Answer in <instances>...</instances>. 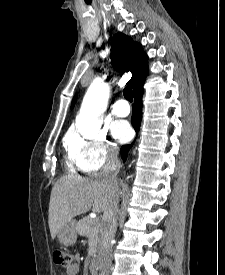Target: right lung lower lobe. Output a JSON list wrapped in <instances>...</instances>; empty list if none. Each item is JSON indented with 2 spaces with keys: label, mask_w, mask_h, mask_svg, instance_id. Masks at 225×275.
Instances as JSON below:
<instances>
[{
  "label": "right lung lower lobe",
  "mask_w": 225,
  "mask_h": 275,
  "mask_svg": "<svg viewBox=\"0 0 225 275\" xmlns=\"http://www.w3.org/2000/svg\"><path fill=\"white\" fill-rule=\"evenodd\" d=\"M142 95H143V84L137 91L133 93L135 103L132 106L133 113H132L131 122L136 131L139 130L141 119H142ZM132 145L133 143L129 145H123L121 147V156L123 158V161L126 160L127 153L132 147Z\"/></svg>",
  "instance_id": "98d812e1"
}]
</instances>
